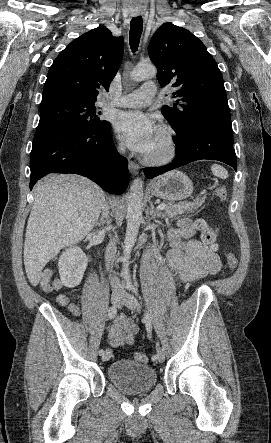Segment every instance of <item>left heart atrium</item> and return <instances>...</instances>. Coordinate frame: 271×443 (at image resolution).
<instances>
[{
  "label": "left heart atrium",
  "mask_w": 271,
  "mask_h": 443,
  "mask_svg": "<svg viewBox=\"0 0 271 443\" xmlns=\"http://www.w3.org/2000/svg\"><path fill=\"white\" fill-rule=\"evenodd\" d=\"M115 127L118 136L132 151L148 154L155 136V125L150 115L138 110L121 112Z\"/></svg>",
  "instance_id": "obj_1"
}]
</instances>
